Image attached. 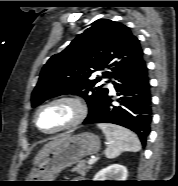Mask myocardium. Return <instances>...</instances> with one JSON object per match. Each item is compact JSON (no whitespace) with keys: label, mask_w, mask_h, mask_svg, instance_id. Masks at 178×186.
<instances>
[{"label":"myocardium","mask_w":178,"mask_h":186,"mask_svg":"<svg viewBox=\"0 0 178 186\" xmlns=\"http://www.w3.org/2000/svg\"><path fill=\"white\" fill-rule=\"evenodd\" d=\"M57 103H68L71 106H73V108L75 110L74 116L67 124L57 128L55 130L45 131L39 126L38 121H37V116L43 108L53 105V104H57ZM87 113H88L87 106L79 97L72 96V95H63V96L55 97V98L41 104L36 109V111L34 113L33 122H34L36 128L39 131H41L42 133L47 134V135H54V134H57V133H60L63 131H67V130H70V129H73V128L79 126L87 117Z\"/></svg>","instance_id":"f54148a6"}]
</instances>
